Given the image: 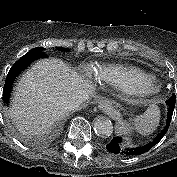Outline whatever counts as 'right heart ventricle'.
Listing matches in <instances>:
<instances>
[{
	"instance_id": "1",
	"label": "right heart ventricle",
	"mask_w": 177,
	"mask_h": 177,
	"mask_svg": "<svg viewBox=\"0 0 177 177\" xmlns=\"http://www.w3.org/2000/svg\"><path fill=\"white\" fill-rule=\"evenodd\" d=\"M94 75L98 81L113 87H122L128 75L150 76L138 67L115 63L96 67Z\"/></svg>"
}]
</instances>
